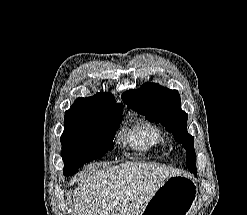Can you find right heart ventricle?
Here are the masks:
<instances>
[{
  "mask_svg": "<svg viewBox=\"0 0 247 215\" xmlns=\"http://www.w3.org/2000/svg\"><path fill=\"white\" fill-rule=\"evenodd\" d=\"M125 144L141 152H149L160 147L164 137L160 128L146 121L136 122L122 134Z\"/></svg>",
  "mask_w": 247,
  "mask_h": 215,
  "instance_id": "1",
  "label": "right heart ventricle"
}]
</instances>
